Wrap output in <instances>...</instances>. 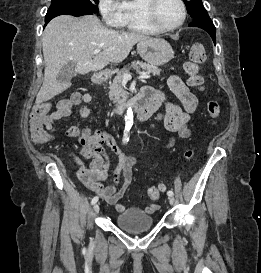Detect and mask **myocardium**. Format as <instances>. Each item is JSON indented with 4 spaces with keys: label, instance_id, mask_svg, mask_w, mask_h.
Segmentation results:
<instances>
[{
    "label": "myocardium",
    "instance_id": "f54148a6",
    "mask_svg": "<svg viewBox=\"0 0 261 273\" xmlns=\"http://www.w3.org/2000/svg\"><path fill=\"white\" fill-rule=\"evenodd\" d=\"M177 2L180 5L181 11H182V17L181 20L172 27H164L162 26L156 17V11L158 8V5L160 3V0H147L146 4V17L149 22V24L156 29L158 32H173L177 29H179L186 21L187 18V8L183 0H177Z\"/></svg>",
    "mask_w": 261,
    "mask_h": 273
}]
</instances>
